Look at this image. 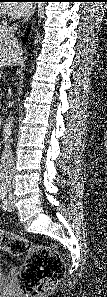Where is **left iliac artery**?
<instances>
[{
	"label": "left iliac artery",
	"instance_id": "1",
	"mask_svg": "<svg viewBox=\"0 0 107 297\" xmlns=\"http://www.w3.org/2000/svg\"><path fill=\"white\" fill-rule=\"evenodd\" d=\"M5 194H6V192L5 191H0V197H1V200H2V206H3V208H5V205H6V198H5Z\"/></svg>",
	"mask_w": 107,
	"mask_h": 297
}]
</instances>
